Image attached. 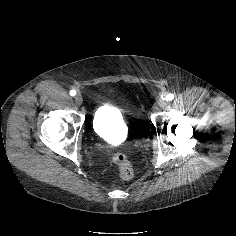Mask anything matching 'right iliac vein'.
I'll use <instances>...</instances> for the list:
<instances>
[{
    "mask_svg": "<svg viewBox=\"0 0 236 236\" xmlns=\"http://www.w3.org/2000/svg\"><path fill=\"white\" fill-rule=\"evenodd\" d=\"M75 103H76L78 106L82 105V103H83V98H82L81 95L77 94V95L75 96Z\"/></svg>",
    "mask_w": 236,
    "mask_h": 236,
    "instance_id": "1",
    "label": "right iliac vein"
}]
</instances>
